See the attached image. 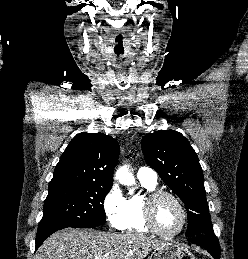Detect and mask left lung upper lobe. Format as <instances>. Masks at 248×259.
<instances>
[{
  "label": "left lung upper lobe",
  "instance_id": "left-lung-upper-lobe-1",
  "mask_svg": "<svg viewBox=\"0 0 248 259\" xmlns=\"http://www.w3.org/2000/svg\"><path fill=\"white\" fill-rule=\"evenodd\" d=\"M148 165L183 200L188 214L187 237L214 234L198 156L188 140L174 130H159L143 137Z\"/></svg>",
  "mask_w": 248,
  "mask_h": 259
}]
</instances>
